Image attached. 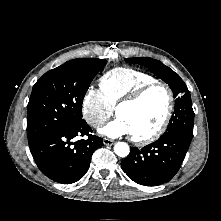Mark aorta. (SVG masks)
<instances>
[{
	"label": "aorta",
	"instance_id": "obj_1",
	"mask_svg": "<svg viewBox=\"0 0 221 221\" xmlns=\"http://www.w3.org/2000/svg\"><path fill=\"white\" fill-rule=\"evenodd\" d=\"M114 152L120 157H126L130 152L129 145L125 142H118L114 146Z\"/></svg>",
	"mask_w": 221,
	"mask_h": 221
}]
</instances>
